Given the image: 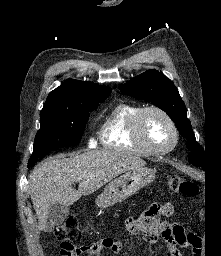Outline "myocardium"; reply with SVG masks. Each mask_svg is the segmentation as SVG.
Wrapping results in <instances>:
<instances>
[{"label":"myocardium","instance_id":"myocardium-1","mask_svg":"<svg viewBox=\"0 0 221 256\" xmlns=\"http://www.w3.org/2000/svg\"><path fill=\"white\" fill-rule=\"evenodd\" d=\"M155 112L160 114L164 119L168 122L169 126L171 127L172 133H173V141L172 143L163 149H157L151 146L147 140L145 139L143 135V122L145 116L150 113ZM132 134L135 139V141L141 145L145 150H147L150 154L153 155H165L171 152L178 144L179 141V131L177 128V125L173 118L166 112L164 109L158 107V106H148L142 108L139 113L136 115L133 128H132Z\"/></svg>","mask_w":221,"mask_h":256}]
</instances>
